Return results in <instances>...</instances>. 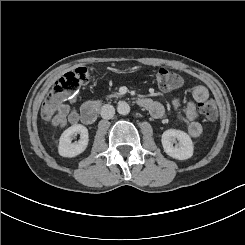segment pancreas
<instances>
[{"instance_id": "1", "label": "pancreas", "mask_w": 245, "mask_h": 245, "mask_svg": "<svg viewBox=\"0 0 245 245\" xmlns=\"http://www.w3.org/2000/svg\"><path fill=\"white\" fill-rule=\"evenodd\" d=\"M120 96H121V94H120V93L115 92V93H113V94L108 95V96H107V99H109V98H113V97L119 98Z\"/></svg>"}]
</instances>
